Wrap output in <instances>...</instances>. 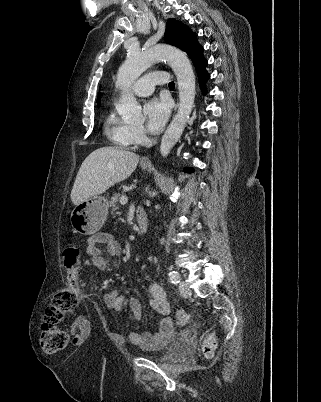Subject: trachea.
Returning a JSON list of instances; mask_svg holds the SVG:
<instances>
[{"label": "trachea", "instance_id": "1", "mask_svg": "<svg viewBox=\"0 0 321 402\" xmlns=\"http://www.w3.org/2000/svg\"><path fill=\"white\" fill-rule=\"evenodd\" d=\"M168 86H169V87H174L175 84H174V82L172 81V82H170V83L168 84Z\"/></svg>", "mask_w": 321, "mask_h": 402}]
</instances>
